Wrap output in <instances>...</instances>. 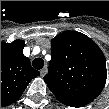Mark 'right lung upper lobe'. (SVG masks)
Segmentation results:
<instances>
[{
  "label": "right lung upper lobe",
  "instance_id": "cb5924a9",
  "mask_svg": "<svg viewBox=\"0 0 109 109\" xmlns=\"http://www.w3.org/2000/svg\"><path fill=\"white\" fill-rule=\"evenodd\" d=\"M23 48V40L1 43V106L17 101L29 82L40 75L23 55Z\"/></svg>",
  "mask_w": 109,
  "mask_h": 109
}]
</instances>
